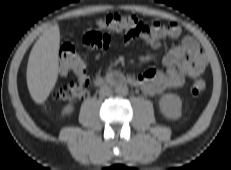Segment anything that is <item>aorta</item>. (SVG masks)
<instances>
[{
	"mask_svg": "<svg viewBox=\"0 0 231 170\" xmlns=\"http://www.w3.org/2000/svg\"><path fill=\"white\" fill-rule=\"evenodd\" d=\"M115 93L119 96H126L128 94V87L126 85H118L115 88Z\"/></svg>",
	"mask_w": 231,
	"mask_h": 170,
	"instance_id": "aorta-1",
	"label": "aorta"
}]
</instances>
